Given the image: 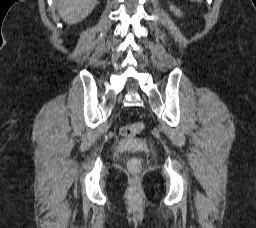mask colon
Returning a JSON list of instances; mask_svg holds the SVG:
<instances>
[{"instance_id":"colon-1","label":"colon","mask_w":256,"mask_h":228,"mask_svg":"<svg viewBox=\"0 0 256 228\" xmlns=\"http://www.w3.org/2000/svg\"><path fill=\"white\" fill-rule=\"evenodd\" d=\"M144 129V125L141 122L124 125L120 128L119 132L124 137H134L141 133ZM127 168L133 175H138L141 171V161L139 158H131L127 163Z\"/></svg>"}]
</instances>
